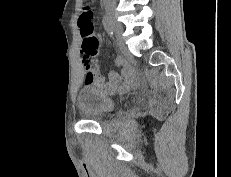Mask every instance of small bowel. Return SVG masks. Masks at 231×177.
<instances>
[{"mask_svg":"<svg viewBox=\"0 0 231 177\" xmlns=\"http://www.w3.org/2000/svg\"><path fill=\"white\" fill-rule=\"evenodd\" d=\"M79 20V19H78ZM84 65L86 83L101 88L108 94L125 93L139 84V79L133 68L125 65L120 72L110 71L107 80L96 72V64Z\"/></svg>","mask_w":231,"mask_h":177,"instance_id":"c3829d8e","label":"small bowel"}]
</instances>
